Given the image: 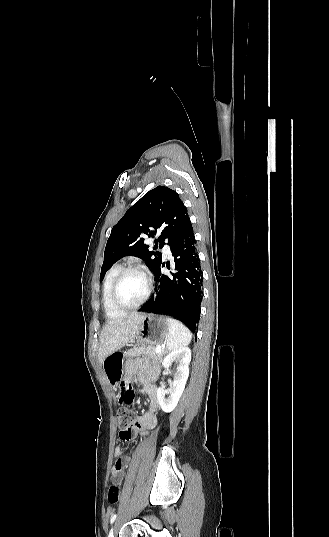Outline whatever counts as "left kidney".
Wrapping results in <instances>:
<instances>
[{"mask_svg": "<svg viewBox=\"0 0 329 537\" xmlns=\"http://www.w3.org/2000/svg\"><path fill=\"white\" fill-rule=\"evenodd\" d=\"M190 361L191 350L188 347L172 351L162 361L163 367L167 369L171 367L173 362L178 364L174 379L170 382L169 388L166 390L164 387H160L157 390L159 405L166 413L172 412L178 404L189 376L188 366Z\"/></svg>", "mask_w": 329, "mask_h": 537, "instance_id": "left-kidney-1", "label": "left kidney"}]
</instances>
